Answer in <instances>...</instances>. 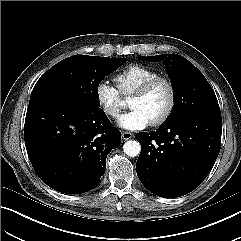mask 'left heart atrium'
Segmentation results:
<instances>
[{
  "mask_svg": "<svg viewBox=\"0 0 241 241\" xmlns=\"http://www.w3.org/2000/svg\"><path fill=\"white\" fill-rule=\"evenodd\" d=\"M149 123V119L137 109H131V111L118 118V124L128 130H141Z\"/></svg>",
  "mask_w": 241,
  "mask_h": 241,
  "instance_id": "obj_1",
  "label": "left heart atrium"
}]
</instances>
